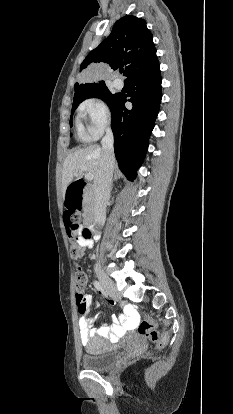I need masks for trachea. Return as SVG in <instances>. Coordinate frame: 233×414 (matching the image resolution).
<instances>
[{
    "mask_svg": "<svg viewBox=\"0 0 233 414\" xmlns=\"http://www.w3.org/2000/svg\"><path fill=\"white\" fill-rule=\"evenodd\" d=\"M120 73H123V70L122 69L120 70Z\"/></svg>",
    "mask_w": 233,
    "mask_h": 414,
    "instance_id": "obj_1",
    "label": "trachea"
}]
</instances>
